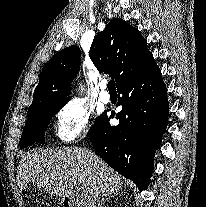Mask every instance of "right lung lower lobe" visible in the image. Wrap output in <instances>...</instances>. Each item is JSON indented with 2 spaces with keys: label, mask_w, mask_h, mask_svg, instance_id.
Here are the masks:
<instances>
[{
  "label": "right lung lower lobe",
  "mask_w": 206,
  "mask_h": 207,
  "mask_svg": "<svg viewBox=\"0 0 206 207\" xmlns=\"http://www.w3.org/2000/svg\"><path fill=\"white\" fill-rule=\"evenodd\" d=\"M117 126L104 113L89 134L95 152L113 169L147 189L153 157L168 122L167 89L153 56L132 76L117 86ZM112 112L110 117H114Z\"/></svg>",
  "instance_id": "1"
}]
</instances>
